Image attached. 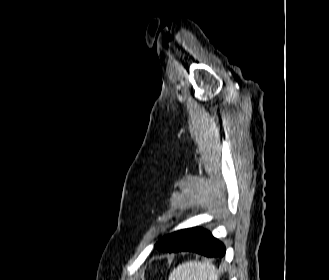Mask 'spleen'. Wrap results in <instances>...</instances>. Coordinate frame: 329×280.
I'll list each match as a JSON object with an SVG mask.
<instances>
[{
	"instance_id": "1",
	"label": "spleen",
	"mask_w": 329,
	"mask_h": 280,
	"mask_svg": "<svg viewBox=\"0 0 329 280\" xmlns=\"http://www.w3.org/2000/svg\"><path fill=\"white\" fill-rule=\"evenodd\" d=\"M168 280H218V270L208 261H187L175 268Z\"/></svg>"
}]
</instances>
